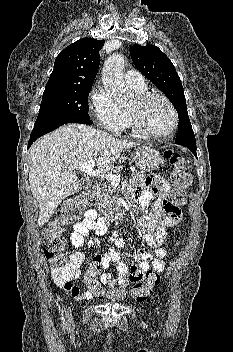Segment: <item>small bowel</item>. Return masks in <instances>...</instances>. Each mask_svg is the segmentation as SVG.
Masks as SVG:
<instances>
[{"label":"small bowel","mask_w":233,"mask_h":352,"mask_svg":"<svg viewBox=\"0 0 233 352\" xmlns=\"http://www.w3.org/2000/svg\"><path fill=\"white\" fill-rule=\"evenodd\" d=\"M169 191V184L154 175L149 176L145 183L131 190V197L138 200L144 209H147L153 198H155L147 215L138 220L144 240L147 246L154 250L155 256L150 251L136 249L133 251L132 257L138 265L129 267L122 261L123 253L121 249L125 246V240L118 232H113L110 236L111 246L103 255L101 268L107 269L113 264L116 268L117 277H114L110 272H105L100 277L103 284L125 288L131 283H138L142 280L144 273L150 268V262H152L154 268L159 270L164 268L168 254L167 249L162 247L166 230L177 225L181 220L180 208L172 207L168 204L167 196ZM106 229V223L103 218L99 217L95 210L89 209L86 211L83 220L73 225L70 241L78 249H95L99 245V239L95 237L87 239V237L91 233L101 236L106 232ZM84 260L85 255L83 252L75 251L71 253L68 261L73 268L72 276L66 281L56 280V283L61 288L77 300H90L93 298L90 291L81 292L79 287L73 283V280L81 276L80 268Z\"/></svg>","instance_id":"small-bowel-1"}]
</instances>
